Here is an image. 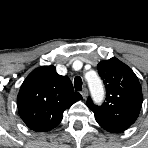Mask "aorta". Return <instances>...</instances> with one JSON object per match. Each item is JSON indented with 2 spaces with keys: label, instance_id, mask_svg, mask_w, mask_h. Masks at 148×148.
<instances>
[{
  "label": "aorta",
  "instance_id": "aorta-1",
  "mask_svg": "<svg viewBox=\"0 0 148 148\" xmlns=\"http://www.w3.org/2000/svg\"><path fill=\"white\" fill-rule=\"evenodd\" d=\"M85 77L94 102L97 104L102 103L105 98V90L102 80L94 71L87 73Z\"/></svg>",
  "mask_w": 148,
  "mask_h": 148
}]
</instances>
